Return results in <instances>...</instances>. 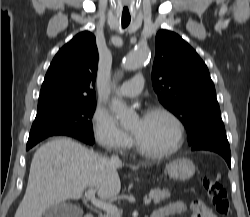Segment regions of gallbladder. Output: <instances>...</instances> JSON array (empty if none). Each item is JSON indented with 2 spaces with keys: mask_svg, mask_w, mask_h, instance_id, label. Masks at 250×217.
Segmentation results:
<instances>
[{
  "mask_svg": "<svg viewBox=\"0 0 250 217\" xmlns=\"http://www.w3.org/2000/svg\"><path fill=\"white\" fill-rule=\"evenodd\" d=\"M83 210L76 205L62 202L49 207L44 217H82Z\"/></svg>",
  "mask_w": 250,
  "mask_h": 217,
  "instance_id": "1",
  "label": "gallbladder"
}]
</instances>
